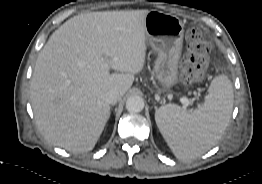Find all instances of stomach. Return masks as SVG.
Returning a JSON list of instances; mask_svg holds the SVG:
<instances>
[{"label": "stomach", "mask_w": 262, "mask_h": 184, "mask_svg": "<svg viewBox=\"0 0 262 184\" xmlns=\"http://www.w3.org/2000/svg\"><path fill=\"white\" fill-rule=\"evenodd\" d=\"M144 23L146 40L157 53L154 65L156 79L163 90H168L179 82L183 22L175 15L151 10L145 16Z\"/></svg>", "instance_id": "obj_1"}]
</instances>
